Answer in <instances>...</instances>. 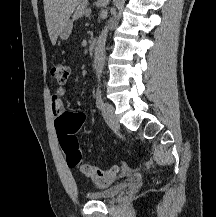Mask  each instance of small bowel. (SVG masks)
Here are the masks:
<instances>
[{
	"instance_id": "obj_1",
	"label": "small bowel",
	"mask_w": 216,
	"mask_h": 217,
	"mask_svg": "<svg viewBox=\"0 0 216 217\" xmlns=\"http://www.w3.org/2000/svg\"><path fill=\"white\" fill-rule=\"evenodd\" d=\"M67 90L65 87H58L51 99V111L55 119V123L65 113L63 97L66 95ZM128 171V169H126Z\"/></svg>"
}]
</instances>
